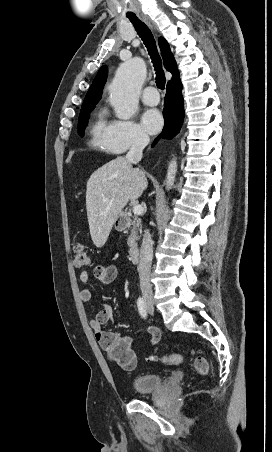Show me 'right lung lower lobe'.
I'll use <instances>...</instances> for the list:
<instances>
[{"instance_id": "1", "label": "right lung lower lobe", "mask_w": 272, "mask_h": 452, "mask_svg": "<svg viewBox=\"0 0 272 452\" xmlns=\"http://www.w3.org/2000/svg\"><path fill=\"white\" fill-rule=\"evenodd\" d=\"M182 84L180 79L167 84L164 102L165 126L159 138L171 139L179 132L184 118V107L182 97ZM157 142L154 141L153 145Z\"/></svg>"}]
</instances>
